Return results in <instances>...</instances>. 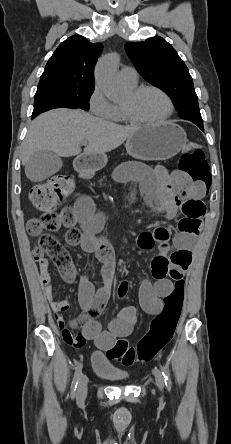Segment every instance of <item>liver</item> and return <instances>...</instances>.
I'll use <instances>...</instances> for the list:
<instances>
[{
  "label": "liver",
  "instance_id": "liver-1",
  "mask_svg": "<svg viewBox=\"0 0 231 444\" xmlns=\"http://www.w3.org/2000/svg\"><path fill=\"white\" fill-rule=\"evenodd\" d=\"M140 126H121L94 117L82 110L53 109L36 117L22 144L21 161L26 165L37 151H51L61 157L105 154L135 134Z\"/></svg>",
  "mask_w": 231,
  "mask_h": 444
}]
</instances>
